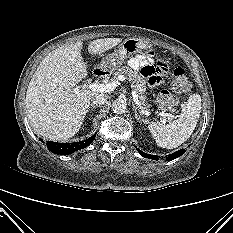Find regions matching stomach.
Segmentation results:
<instances>
[{
  "label": "stomach",
  "mask_w": 233,
  "mask_h": 233,
  "mask_svg": "<svg viewBox=\"0 0 233 233\" xmlns=\"http://www.w3.org/2000/svg\"><path fill=\"white\" fill-rule=\"evenodd\" d=\"M150 48L148 42L137 38L126 39L118 48L117 51L105 57L101 66L105 72H114L125 62V60L141 51Z\"/></svg>",
  "instance_id": "0dacf381"
}]
</instances>
